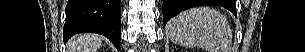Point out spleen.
Here are the masks:
<instances>
[{
    "mask_svg": "<svg viewBox=\"0 0 305 52\" xmlns=\"http://www.w3.org/2000/svg\"><path fill=\"white\" fill-rule=\"evenodd\" d=\"M169 38L185 47H199L207 52H229L231 29L220 12L209 7L183 11L168 23Z\"/></svg>",
    "mask_w": 305,
    "mask_h": 52,
    "instance_id": "1",
    "label": "spleen"
}]
</instances>
